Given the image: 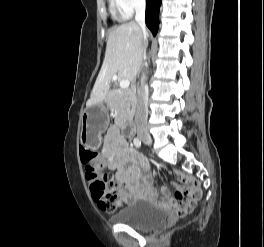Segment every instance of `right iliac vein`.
Masks as SVG:
<instances>
[{
	"label": "right iliac vein",
	"instance_id": "right-iliac-vein-1",
	"mask_svg": "<svg viewBox=\"0 0 264 247\" xmlns=\"http://www.w3.org/2000/svg\"><path fill=\"white\" fill-rule=\"evenodd\" d=\"M138 136L145 144L150 145L152 143L151 136H150V134L148 133L147 130H145V129L139 130L138 131Z\"/></svg>",
	"mask_w": 264,
	"mask_h": 247
}]
</instances>
